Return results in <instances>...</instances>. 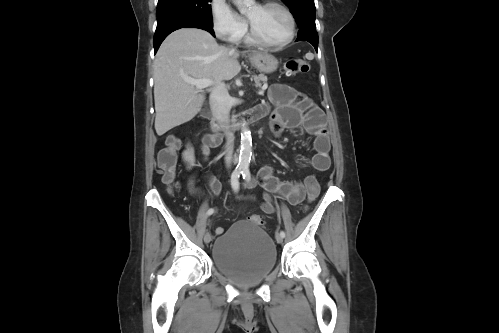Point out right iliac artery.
<instances>
[{
    "mask_svg": "<svg viewBox=\"0 0 499 333\" xmlns=\"http://www.w3.org/2000/svg\"><path fill=\"white\" fill-rule=\"evenodd\" d=\"M242 168H236L231 175V186L235 192L239 190V177L242 174ZM214 213V209L210 208L207 211V215L210 216Z\"/></svg>",
    "mask_w": 499,
    "mask_h": 333,
    "instance_id": "obj_1",
    "label": "right iliac artery"
}]
</instances>
